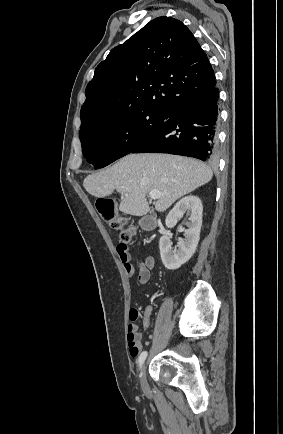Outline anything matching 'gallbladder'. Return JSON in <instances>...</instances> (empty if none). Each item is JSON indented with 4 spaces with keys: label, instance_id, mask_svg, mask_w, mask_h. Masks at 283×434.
Instances as JSON below:
<instances>
[{
    "label": "gallbladder",
    "instance_id": "gallbladder-1",
    "mask_svg": "<svg viewBox=\"0 0 283 434\" xmlns=\"http://www.w3.org/2000/svg\"><path fill=\"white\" fill-rule=\"evenodd\" d=\"M139 225L143 230L151 231L156 226V219L153 215L143 216L139 221Z\"/></svg>",
    "mask_w": 283,
    "mask_h": 434
}]
</instances>
